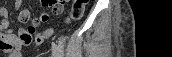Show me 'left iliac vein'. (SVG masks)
<instances>
[{"label":"left iliac vein","instance_id":"obj_1","mask_svg":"<svg viewBox=\"0 0 172 57\" xmlns=\"http://www.w3.org/2000/svg\"><path fill=\"white\" fill-rule=\"evenodd\" d=\"M52 57H60L59 50L56 44L52 46Z\"/></svg>","mask_w":172,"mask_h":57}]
</instances>
